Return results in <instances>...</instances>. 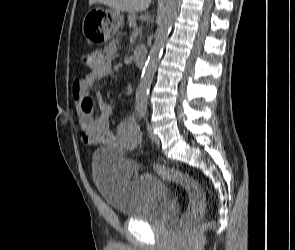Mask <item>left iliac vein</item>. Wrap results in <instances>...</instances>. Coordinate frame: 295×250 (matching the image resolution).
I'll return each instance as SVG.
<instances>
[{
  "label": "left iliac vein",
  "instance_id": "obj_1",
  "mask_svg": "<svg viewBox=\"0 0 295 250\" xmlns=\"http://www.w3.org/2000/svg\"><path fill=\"white\" fill-rule=\"evenodd\" d=\"M147 130H148V134H149V137L151 139V141L157 145V146H160V139L159 137L154 133L153 131V127L151 124L147 123Z\"/></svg>",
  "mask_w": 295,
  "mask_h": 250
}]
</instances>
